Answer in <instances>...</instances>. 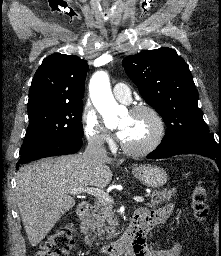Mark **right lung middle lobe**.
<instances>
[{"label":"right lung middle lobe","instance_id":"obj_1","mask_svg":"<svg viewBox=\"0 0 221 256\" xmlns=\"http://www.w3.org/2000/svg\"><path fill=\"white\" fill-rule=\"evenodd\" d=\"M83 103L44 105L28 110L29 126L20 155L53 139L82 138Z\"/></svg>","mask_w":221,"mask_h":256}]
</instances>
